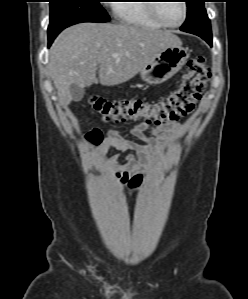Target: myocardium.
Segmentation results:
<instances>
[{"label":"myocardium","mask_w":248,"mask_h":299,"mask_svg":"<svg viewBox=\"0 0 248 299\" xmlns=\"http://www.w3.org/2000/svg\"><path fill=\"white\" fill-rule=\"evenodd\" d=\"M155 2H158V1H155ZM181 4H182V8H183V17H182L181 21L177 24H170L163 19V17L160 15L159 10H158L160 3H152L150 6V11H151L153 18L158 23H160L162 26L168 27V28H178L186 21L187 15H188L187 3L183 0H181Z\"/></svg>","instance_id":"obj_1"}]
</instances>
